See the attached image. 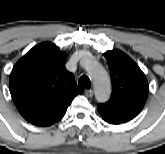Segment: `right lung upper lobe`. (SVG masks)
Instances as JSON below:
<instances>
[{
	"label": "right lung upper lobe",
	"mask_w": 165,
	"mask_h": 154,
	"mask_svg": "<svg viewBox=\"0 0 165 154\" xmlns=\"http://www.w3.org/2000/svg\"><path fill=\"white\" fill-rule=\"evenodd\" d=\"M67 56L50 43L33 47L13 67L9 89L20 114L32 117L73 100L83 92L65 68Z\"/></svg>",
	"instance_id": "obj_1"
}]
</instances>
